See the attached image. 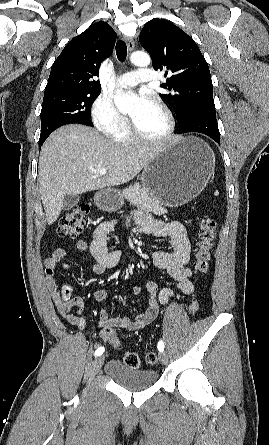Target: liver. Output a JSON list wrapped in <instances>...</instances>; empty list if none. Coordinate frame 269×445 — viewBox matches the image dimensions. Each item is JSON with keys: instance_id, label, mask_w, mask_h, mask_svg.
I'll return each instance as SVG.
<instances>
[{"instance_id": "6515ba94", "label": "liver", "mask_w": 269, "mask_h": 445, "mask_svg": "<svg viewBox=\"0 0 269 445\" xmlns=\"http://www.w3.org/2000/svg\"><path fill=\"white\" fill-rule=\"evenodd\" d=\"M163 148L109 141L84 125L59 128L46 140L39 157L38 183L47 224L59 217L65 195L127 183ZM101 168L107 174L100 176Z\"/></svg>"}]
</instances>
